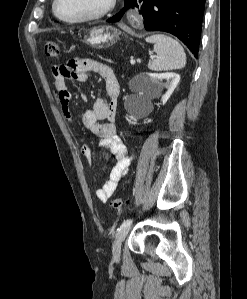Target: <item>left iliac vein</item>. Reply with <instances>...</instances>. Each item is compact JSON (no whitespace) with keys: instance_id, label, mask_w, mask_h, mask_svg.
<instances>
[{"instance_id":"left-iliac-vein-1","label":"left iliac vein","mask_w":247,"mask_h":299,"mask_svg":"<svg viewBox=\"0 0 247 299\" xmlns=\"http://www.w3.org/2000/svg\"><path fill=\"white\" fill-rule=\"evenodd\" d=\"M130 229H131L130 225L122 227L115 236V241L113 243L112 251H113V258L116 261L120 259L121 245L125 237L129 233Z\"/></svg>"}]
</instances>
